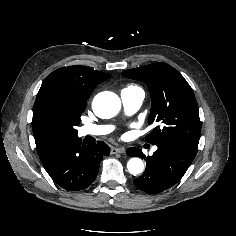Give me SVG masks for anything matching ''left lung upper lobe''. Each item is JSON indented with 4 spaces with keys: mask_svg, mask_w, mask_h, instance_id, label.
I'll return each instance as SVG.
<instances>
[{
    "mask_svg": "<svg viewBox=\"0 0 236 236\" xmlns=\"http://www.w3.org/2000/svg\"><path fill=\"white\" fill-rule=\"evenodd\" d=\"M125 77L146 83L151 95L149 125H158L145 140L158 143H179L198 148L200 119L192 88L172 66L154 63L123 71Z\"/></svg>",
    "mask_w": 236,
    "mask_h": 236,
    "instance_id": "left-lung-upper-lobe-1",
    "label": "left lung upper lobe"
}]
</instances>
